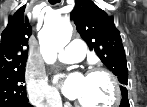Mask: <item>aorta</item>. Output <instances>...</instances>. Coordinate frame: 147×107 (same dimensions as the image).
Returning <instances> with one entry per match:
<instances>
[{
	"label": "aorta",
	"instance_id": "obj_1",
	"mask_svg": "<svg viewBox=\"0 0 147 107\" xmlns=\"http://www.w3.org/2000/svg\"><path fill=\"white\" fill-rule=\"evenodd\" d=\"M73 28L69 22L46 21L39 32L40 51L47 64H54L60 49L68 44Z\"/></svg>",
	"mask_w": 147,
	"mask_h": 107
}]
</instances>
